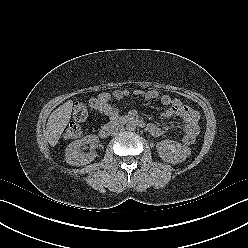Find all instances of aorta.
Segmentation results:
<instances>
[{"mask_svg":"<svg viewBox=\"0 0 248 248\" xmlns=\"http://www.w3.org/2000/svg\"><path fill=\"white\" fill-rule=\"evenodd\" d=\"M126 129L128 131H134L136 129V123L134 121H129L127 124H126Z\"/></svg>","mask_w":248,"mask_h":248,"instance_id":"762f6f07","label":"aorta"}]
</instances>
